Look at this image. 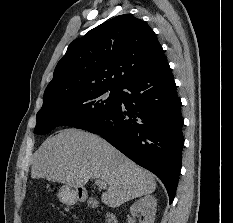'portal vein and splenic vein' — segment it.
I'll use <instances>...</instances> for the list:
<instances>
[{
    "label": "portal vein and splenic vein",
    "mask_w": 233,
    "mask_h": 223,
    "mask_svg": "<svg viewBox=\"0 0 233 223\" xmlns=\"http://www.w3.org/2000/svg\"><path fill=\"white\" fill-rule=\"evenodd\" d=\"M96 185H98V187H103V189H106L107 185H106V181H104V179H99V177H96V179H94Z\"/></svg>",
    "instance_id": "1"
}]
</instances>
